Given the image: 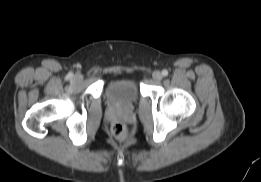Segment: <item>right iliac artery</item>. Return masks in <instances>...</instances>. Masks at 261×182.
Wrapping results in <instances>:
<instances>
[{
    "label": "right iliac artery",
    "instance_id": "right-iliac-artery-1",
    "mask_svg": "<svg viewBox=\"0 0 261 182\" xmlns=\"http://www.w3.org/2000/svg\"><path fill=\"white\" fill-rule=\"evenodd\" d=\"M73 77V74L72 73H69L68 75H67V78L68 79H70V78H72Z\"/></svg>",
    "mask_w": 261,
    "mask_h": 182
}]
</instances>
